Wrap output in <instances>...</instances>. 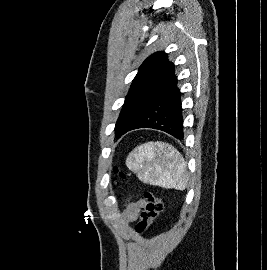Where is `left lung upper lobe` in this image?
<instances>
[{
	"instance_id": "5c2ea615",
	"label": "left lung upper lobe",
	"mask_w": 267,
	"mask_h": 270,
	"mask_svg": "<svg viewBox=\"0 0 267 270\" xmlns=\"http://www.w3.org/2000/svg\"><path fill=\"white\" fill-rule=\"evenodd\" d=\"M174 74L165 52H156L140 66L115 125L116 136L125 134L164 90Z\"/></svg>"
}]
</instances>
